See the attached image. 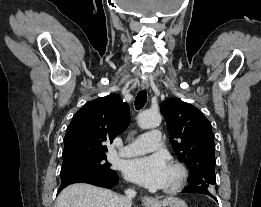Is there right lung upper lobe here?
<instances>
[{
  "label": "right lung upper lobe",
  "instance_id": "obj_1",
  "mask_svg": "<svg viewBox=\"0 0 261 207\" xmlns=\"http://www.w3.org/2000/svg\"><path fill=\"white\" fill-rule=\"evenodd\" d=\"M130 123L129 107L116 94L86 103L72 118L64 138L63 161L106 154L110 141Z\"/></svg>",
  "mask_w": 261,
  "mask_h": 207
}]
</instances>
